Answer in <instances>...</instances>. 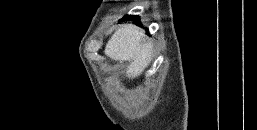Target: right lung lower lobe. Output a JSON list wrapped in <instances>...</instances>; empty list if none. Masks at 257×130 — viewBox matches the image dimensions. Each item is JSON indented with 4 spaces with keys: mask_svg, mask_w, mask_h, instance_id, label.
Masks as SVG:
<instances>
[{
    "mask_svg": "<svg viewBox=\"0 0 257 130\" xmlns=\"http://www.w3.org/2000/svg\"><path fill=\"white\" fill-rule=\"evenodd\" d=\"M135 18H139L138 16H125V17H123V21L124 20H136Z\"/></svg>",
    "mask_w": 257,
    "mask_h": 130,
    "instance_id": "1",
    "label": "right lung lower lobe"
}]
</instances>
